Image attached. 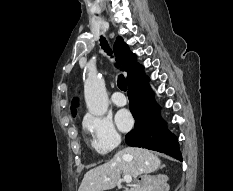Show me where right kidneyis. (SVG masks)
Instances as JSON below:
<instances>
[{"label": "right kidney", "mask_w": 233, "mask_h": 191, "mask_svg": "<svg viewBox=\"0 0 233 191\" xmlns=\"http://www.w3.org/2000/svg\"><path fill=\"white\" fill-rule=\"evenodd\" d=\"M168 176L164 174H159L157 176H153L149 182L145 191H169V185L167 183Z\"/></svg>", "instance_id": "right-kidney-1"}]
</instances>
